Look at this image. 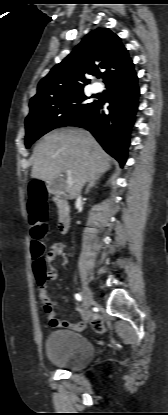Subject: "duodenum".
<instances>
[{
	"mask_svg": "<svg viewBox=\"0 0 168 415\" xmlns=\"http://www.w3.org/2000/svg\"><path fill=\"white\" fill-rule=\"evenodd\" d=\"M58 208V230L65 234L70 227V215L68 211L66 194L54 188L49 189Z\"/></svg>",
	"mask_w": 168,
	"mask_h": 415,
	"instance_id": "1",
	"label": "duodenum"
}]
</instances>
